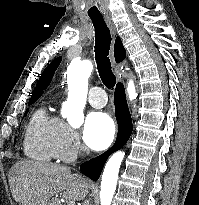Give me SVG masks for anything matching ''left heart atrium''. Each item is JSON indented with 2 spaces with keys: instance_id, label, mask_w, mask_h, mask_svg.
<instances>
[{
  "instance_id": "39dd6f15",
  "label": "left heart atrium",
  "mask_w": 199,
  "mask_h": 205,
  "mask_svg": "<svg viewBox=\"0 0 199 205\" xmlns=\"http://www.w3.org/2000/svg\"><path fill=\"white\" fill-rule=\"evenodd\" d=\"M115 124L104 112H91L85 119L83 138L85 143L94 150L107 148L114 139Z\"/></svg>"
}]
</instances>
